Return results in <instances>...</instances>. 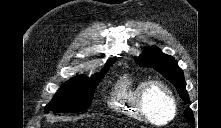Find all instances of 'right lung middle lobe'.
<instances>
[{
	"label": "right lung middle lobe",
	"instance_id": "1",
	"mask_svg": "<svg viewBox=\"0 0 221 128\" xmlns=\"http://www.w3.org/2000/svg\"><path fill=\"white\" fill-rule=\"evenodd\" d=\"M115 59L109 60L101 73L91 78L77 76L62 85L52 101L45 106V112H77L89 108L95 88L102 80Z\"/></svg>",
	"mask_w": 221,
	"mask_h": 128
}]
</instances>
